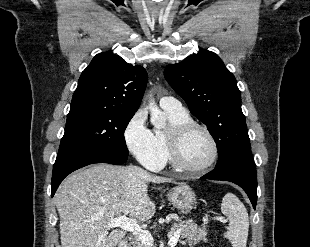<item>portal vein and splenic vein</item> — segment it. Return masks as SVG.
<instances>
[{
  "label": "portal vein and splenic vein",
  "instance_id": "obj_1",
  "mask_svg": "<svg viewBox=\"0 0 310 247\" xmlns=\"http://www.w3.org/2000/svg\"><path fill=\"white\" fill-rule=\"evenodd\" d=\"M109 228L120 227L123 230H127L136 235L144 244L148 247L152 246L154 243L151 233L145 229H142L137 222L127 218L126 216H118L112 219L108 223ZM180 238V230H177L173 235H169L168 245L170 247H175Z\"/></svg>",
  "mask_w": 310,
  "mask_h": 247
}]
</instances>
